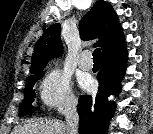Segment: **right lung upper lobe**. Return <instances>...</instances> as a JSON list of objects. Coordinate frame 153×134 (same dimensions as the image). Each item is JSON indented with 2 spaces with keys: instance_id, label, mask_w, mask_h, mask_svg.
Returning a JSON list of instances; mask_svg holds the SVG:
<instances>
[{
  "instance_id": "cb5924a9",
  "label": "right lung upper lobe",
  "mask_w": 153,
  "mask_h": 134,
  "mask_svg": "<svg viewBox=\"0 0 153 134\" xmlns=\"http://www.w3.org/2000/svg\"><path fill=\"white\" fill-rule=\"evenodd\" d=\"M80 35L83 40L99 38L95 46L107 52L122 42L124 36L117 14L106 1L96 2L93 8L80 21ZM62 51L60 25H51L41 36L35 46L31 59V73L41 72L49 59L59 56Z\"/></svg>"
}]
</instances>
